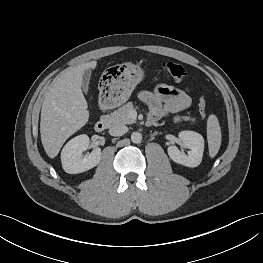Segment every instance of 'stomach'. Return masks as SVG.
Here are the masks:
<instances>
[{
  "instance_id": "stomach-1",
  "label": "stomach",
  "mask_w": 263,
  "mask_h": 263,
  "mask_svg": "<svg viewBox=\"0 0 263 263\" xmlns=\"http://www.w3.org/2000/svg\"><path fill=\"white\" fill-rule=\"evenodd\" d=\"M144 77L145 71L138 64L124 63L111 66L101 77V96L111 106H119L129 99Z\"/></svg>"
}]
</instances>
